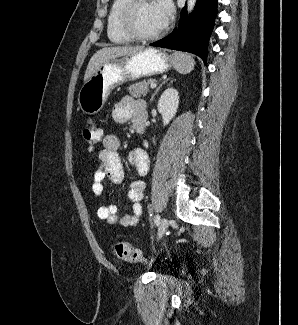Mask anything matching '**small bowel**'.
<instances>
[{"label":"small bowel","instance_id":"obj_1","mask_svg":"<svg viewBox=\"0 0 298 325\" xmlns=\"http://www.w3.org/2000/svg\"><path fill=\"white\" fill-rule=\"evenodd\" d=\"M140 102L130 96H124L112 110L113 119L124 124L133 118L135 105ZM120 146L119 138L114 134H106L102 137V149L98 152V169L93 176L92 191L100 196L103 191V180L107 177L114 184H120L124 177L123 165L118 154ZM128 162L137 170L140 176H145L149 171V157L141 148H135L128 154ZM145 190L142 180H135L130 184L128 197L132 202V213L120 215L115 204L102 205L97 214L100 219L108 223L121 226H136L142 215L141 200Z\"/></svg>","mask_w":298,"mask_h":325}]
</instances>
